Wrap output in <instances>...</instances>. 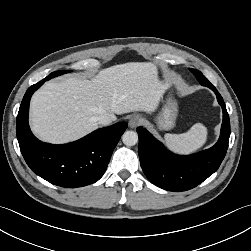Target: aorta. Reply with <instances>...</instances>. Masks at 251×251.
<instances>
[{
  "mask_svg": "<svg viewBox=\"0 0 251 251\" xmlns=\"http://www.w3.org/2000/svg\"><path fill=\"white\" fill-rule=\"evenodd\" d=\"M122 141L126 146H134L138 142V134L135 131H126L122 135Z\"/></svg>",
  "mask_w": 251,
  "mask_h": 251,
  "instance_id": "obj_1",
  "label": "aorta"
}]
</instances>
